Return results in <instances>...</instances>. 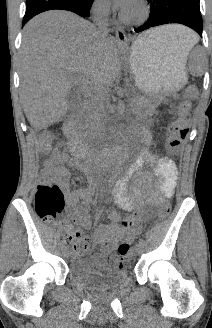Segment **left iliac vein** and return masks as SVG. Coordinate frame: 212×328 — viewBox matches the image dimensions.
Returning <instances> with one entry per match:
<instances>
[{
	"mask_svg": "<svg viewBox=\"0 0 212 328\" xmlns=\"http://www.w3.org/2000/svg\"><path fill=\"white\" fill-rule=\"evenodd\" d=\"M135 252H136V254H141L143 252V245L140 243L136 244Z\"/></svg>",
	"mask_w": 212,
	"mask_h": 328,
	"instance_id": "obj_1",
	"label": "left iliac vein"
}]
</instances>
